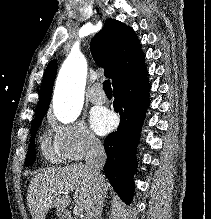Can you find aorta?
<instances>
[{"instance_id":"obj_1","label":"aorta","mask_w":211,"mask_h":219,"mask_svg":"<svg viewBox=\"0 0 211 219\" xmlns=\"http://www.w3.org/2000/svg\"><path fill=\"white\" fill-rule=\"evenodd\" d=\"M87 65L84 57L72 52L59 72L55 92L54 110L57 118L65 123L76 120L83 106Z\"/></svg>"}]
</instances>
